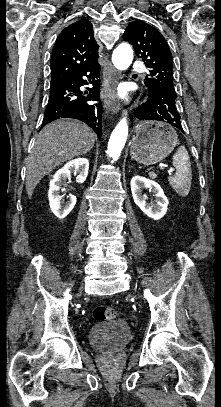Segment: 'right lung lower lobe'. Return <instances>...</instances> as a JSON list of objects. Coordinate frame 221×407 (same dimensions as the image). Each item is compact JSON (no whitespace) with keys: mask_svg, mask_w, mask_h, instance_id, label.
I'll use <instances>...</instances> for the list:
<instances>
[{"mask_svg":"<svg viewBox=\"0 0 221 407\" xmlns=\"http://www.w3.org/2000/svg\"><path fill=\"white\" fill-rule=\"evenodd\" d=\"M100 70V65L95 62L63 80L51 84L42 127L59 118H73L89 125L100 137L102 135V104L99 100ZM88 83L93 87L87 88L85 92L81 91L80 87L88 85ZM93 101H98V103H93Z\"/></svg>","mask_w":221,"mask_h":407,"instance_id":"right-lung-lower-lobe-1","label":"right lung lower lobe"}]
</instances>
